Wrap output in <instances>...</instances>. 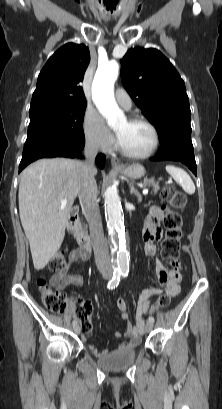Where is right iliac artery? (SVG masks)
I'll return each instance as SVG.
<instances>
[{
	"label": "right iliac artery",
	"instance_id": "right-iliac-artery-1",
	"mask_svg": "<svg viewBox=\"0 0 222 409\" xmlns=\"http://www.w3.org/2000/svg\"><path fill=\"white\" fill-rule=\"evenodd\" d=\"M121 274H122L121 271L115 272L113 274L112 279L109 281L107 285L108 289H114L115 287L118 286ZM72 324L73 326L77 325V320H73Z\"/></svg>",
	"mask_w": 222,
	"mask_h": 409
}]
</instances>
